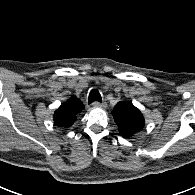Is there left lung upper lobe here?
Segmentation results:
<instances>
[{
    "instance_id": "obj_1",
    "label": "left lung upper lobe",
    "mask_w": 195,
    "mask_h": 195,
    "mask_svg": "<svg viewBox=\"0 0 195 195\" xmlns=\"http://www.w3.org/2000/svg\"><path fill=\"white\" fill-rule=\"evenodd\" d=\"M112 114L123 137H132L144 128L142 113L129 102L123 101L117 103Z\"/></svg>"
}]
</instances>
